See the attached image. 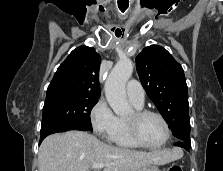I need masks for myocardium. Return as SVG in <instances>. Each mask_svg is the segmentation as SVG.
<instances>
[{
  "instance_id": "f54148a6",
  "label": "myocardium",
  "mask_w": 223,
  "mask_h": 171,
  "mask_svg": "<svg viewBox=\"0 0 223 171\" xmlns=\"http://www.w3.org/2000/svg\"><path fill=\"white\" fill-rule=\"evenodd\" d=\"M147 115H153L158 117L166 130V136L165 139L163 140V142L159 145L156 146H150L145 144L139 134H138V129H137V124L139 122L140 119H142L143 117L147 116ZM125 126L128 132L129 137L131 138V140L138 145L139 147L145 148V149H150V150H156V149H160L162 147H164L167 142L169 141L170 137H171V128L170 125L168 123V121L166 120V118L158 111L155 110H151V109H145V108H136L133 110V117L131 119H125Z\"/></svg>"
}]
</instances>
